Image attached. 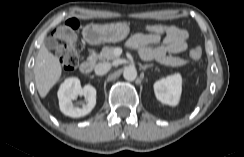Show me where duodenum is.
Wrapping results in <instances>:
<instances>
[{
	"instance_id": "duodenum-1",
	"label": "duodenum",
	"mask_w": 244,
	"mask_h": 157,
	"mask_svg": "<svg viewBox=\"0 0 244 157\" xmlns=\"http://www.w3.org/2000/svg\"><path fill=\"white\" fill-rule=\"evenodd\" d=\"M96 62V56L91 54L85 61L80 65V70L84 74H89L92 72Z\"/></svg>"
}]
</instances>
